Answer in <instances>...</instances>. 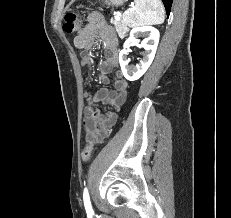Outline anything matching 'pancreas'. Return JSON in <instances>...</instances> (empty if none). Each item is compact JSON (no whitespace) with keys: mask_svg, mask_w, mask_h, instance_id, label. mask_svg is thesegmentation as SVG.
<instances>
[{"mask_svg":"<svg viewBox=\"0 0 231 218\" xmlns=\"http://www.w3.org/2000/svg\"><path fill=\"white\" fill-rule=\"evenodd\" d=\"M111 23L115 26V29L120 38H123L129 31L126 23L122 19L112 20Z\"/></svg>","mask_w":231,"mask_h":218,"instance_id":"1","label":"pancreas"}]
</instances>
